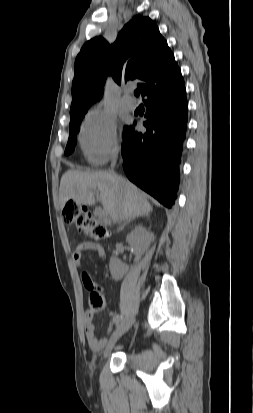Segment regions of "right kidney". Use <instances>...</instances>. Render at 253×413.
<instances>
[{
	"label": "right kidney",
	"instance_id": "1",
	"mask_svg": "<svg viewBox=\"0 0 253 413\" xmlns=\"http://www.w3.org/2000/svg\"><path fill=\"white\" fill-rule=\"evenodd\" d=\"M128 244L134 248L135 260L139 261L141 256L148 250L154 241V234L147 231L143 226L135 227L126 238ZM110 272L115 280H120L128 271V266L123 264L116 256L110 259Z\"/></svg>",
	"mask_w": 253,
	"mask_h": 413
}]
</instances>
